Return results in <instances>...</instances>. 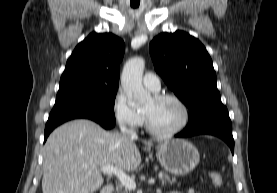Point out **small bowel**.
Returning <instances> with one entry per match:
<instances>
[{
    "mask_svg": "<svg viewBox=\"0 0 277 193\" xmlns=\"http://www.w3.org/2000/svg\"><path fill=\"white\" fill-rule=\"evenodd\" d=\"M167 193H182V192H179V191H170V192H167ZM186 193H200L194 189H189Z\"/></svg>",
    "mask_w": 277,
    "mask_h": 193,
    "instance_id": "small-bowel-1",
    "label": "small bowel"
}]
</instances>
